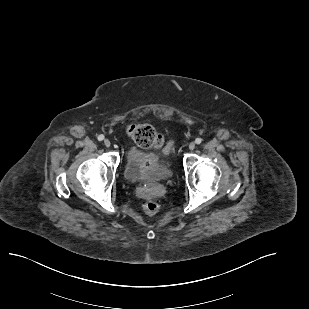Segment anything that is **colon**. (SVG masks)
Here are the masks:
<instances>
[{
  "instance_id": "1",
  "label": "colon",
  "mask_w": 309,
  "mask_h": 309,
  "mask_svg": "<svg viewBox=\"0 0 309 309\" xmlns=\"http://www.w3.org/2000/svg\"><path fill=\"white\" fill-rule=\"evenodd\" d=\"M128 134L142 148H160L163 146L162 136L147 124L130 125ZM143 209L147 214L155 215L159 211V204L154 200H149L143 205Z\"/></svg>"
}]
</instances>
